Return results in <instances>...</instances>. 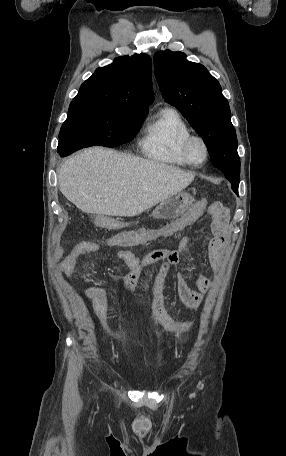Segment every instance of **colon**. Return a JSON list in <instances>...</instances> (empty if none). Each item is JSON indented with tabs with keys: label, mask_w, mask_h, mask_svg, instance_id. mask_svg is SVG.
<instances>
[{
	"label": "colon",
	"mask_w": 286,
	"mask_h": 456,
	"mask_svg": "<svg viewBox=\"0 0 286 456\" xmlns=\"http://www.w3.org/2000/svg\"><path fill=\"white\" fill-rule=\"evenodd\" d=\"M201 203H204L206 205V203L204 201H202ZM209 208L212 209V210H218V209L222 208V205L218 201L210 202L209 203Z\"/></svg>",
	"instance_id": "1"
}]
</instances>
